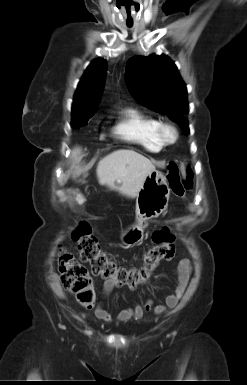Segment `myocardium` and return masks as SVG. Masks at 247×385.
<instances>
[{
    "instance_id": "obj_1",
    "label": "myocardium",
    "mask_w": 247,
    "mask_h": 385,
    "mask_svg": "<svg viewBox=\"0 0 247 385\" xmlns=\"http://www.w3.org/2000/svg\"><path fill=\"white\" fill-rule=\"evenodd\" d=\"M156 134L163 146H170L175 144L179 137L177 128L168 122L159 123Z\"/></svg>"
}]
</instances>
